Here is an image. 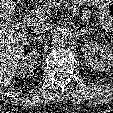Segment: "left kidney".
I'll return each instance as SVG.
<instances>
[{
	"label": "left kidney",
	"instance_id": "obj_1",
	"mask_svg": "<svg viewBox=\"0 0 113 113\" xmlns=\"http://www.w3.org/2000/svg\"><path fill=\"white\" fill-rule=\"evenodd\" d=\"M82 57L85 64L96 71H108L113 67V54L110 47L89 42L82 46Z\"/></svg>",
	"mask_w": 113,
	"mask_h": 113
}]
</instances>
